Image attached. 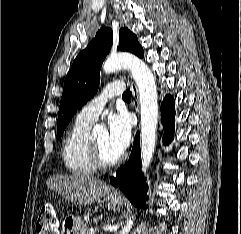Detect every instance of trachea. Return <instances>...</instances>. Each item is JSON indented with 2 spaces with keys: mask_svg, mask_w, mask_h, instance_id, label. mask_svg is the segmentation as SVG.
<instances>
[{
  "mask_svg": "<svg viewBox=\"0 0 241 234\" xmlns=\"http://www.w3.org/2000/svg\"><path fill=\"white\" fill-rule=\"evenodd\" d=\"M123 99H126V100L131 99V92H130V90H127L126 92H124Z\"/></svg>",
  "mask_w": 241,
  "mask_h": 234,
  "instance_id": "3493384b",
  "label": "trachea"
}]
</instances>
